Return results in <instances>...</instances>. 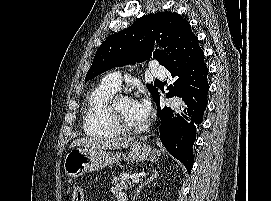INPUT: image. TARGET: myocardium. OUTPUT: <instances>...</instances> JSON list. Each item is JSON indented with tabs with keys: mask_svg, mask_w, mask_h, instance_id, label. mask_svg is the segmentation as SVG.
Segmentation results:
<instances>
[{
	"mask_svg": "<svg viewBox=\"0 0 271 201\" xmlns=\"http://www.w3.org/2000/svg\"><path fill=\"white\" fill-rule=\"evenodd\" d=\"M126 98L127 96L122 93H116L110 98L107 104V112L110 117V120L121 133H127V134L141 133L144 130H146V128L148 127L147 120H145L142 124L138 126H132L123 122L121 118L118 116V114L116 113L115 107L117 103Z\"/></svg>",
	"mask_w": 271,
	"mask_h": 201,
	"instance_id": "f54148a6",
	"label": "myocardium"
}]
</instances>
